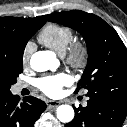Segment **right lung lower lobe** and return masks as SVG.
Segmentation results:
<instances>
[{"mask_svg": "<svg viewBox=\"0 0 127 127\" xmlns=\"http://www.w3.org/2000/svg\"><path fill=\"white\" fill-rule=\"evenodd\" d=\"M45 109V102L32 96L21 102L18 95H0V127H33Z\"/></svg>", "mask_w": 127, "mask_h": 127, "instance_id": "98d812e1", "label": "right lung lower lobe"}]
</instances>
